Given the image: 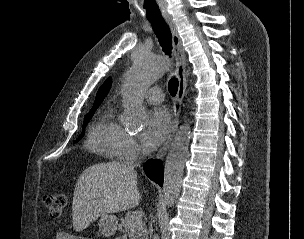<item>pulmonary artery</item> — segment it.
Masks as SVG:
<instances>
[{
    "label": "pulmonary artery",
    "instance_id": "pulmonary-artery-1",
    "mask_svg": "<svg viewBox=\"0 0 304 239\" xmlns=\"http://www.w3.org/2000/svg\"><path fill=\"white\" fill-rule=\"evenodd\" d=\"M143 98L151 104H160L164 100V94L160 88L153 87L144 92Z\"/></svg>",
    "mask_w": 304,
    "mask_h": 239
}]
</instances>
